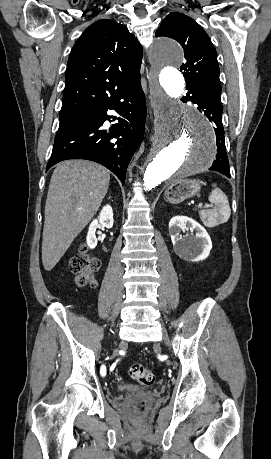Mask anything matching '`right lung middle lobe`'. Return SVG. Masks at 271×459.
Here are the masks:
<instances>
[{"label": "right lung middle lobe", "instance_id": "right-lung-middle-lobe-1", "mask_svg": "<svg viewBox=\"0 0 271 459\" xmlns=\"http://www.w3.org/2000/svg\"><path fill=\"white\" fill-rule=\"evenodd\" d=\"M90 110H94V108L93 107H89V108H86V109L78 111V112L60 113V120L65 119V118L70 117V116H73V115H76V114H79L81 112L90 111Z\"/></svg>", "mask_w": 271, "mask_h": 459}]
</instances>
